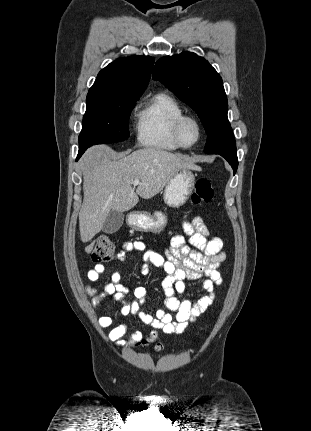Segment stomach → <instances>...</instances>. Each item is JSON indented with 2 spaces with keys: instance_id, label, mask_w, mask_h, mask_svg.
<instances>
[{
  "instance_id": "0dacf381",
  "label": "stomach",
  "mask_w": 311,
  "mask_h": 431,
  "mask_svg": "<svg viewBox=\"0 0 311 431\" xmlns=\"http://www.w3.org/2000/svg\"><path fill=\"white\" fill-rule=\"evenodd\" d=\"M195 188V176L191 170L183 168L176 172V176L166 184L163 192V200L169 208H181L188 202ZM167 216L163 212H130L126 216L128 227L136 231H153L160 233L167 225Z\"/></svg>"
}]
</instances>
